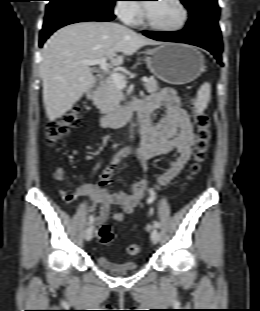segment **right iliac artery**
<instances>
[{"label": "right iliac artery", "mask_w": 260, "mask_h": 311, "mask_svg": "<svg viewBox=\"0 0 260 311\" xmlns=\"http://www.w3.org/2000/svg\"><path fill=\"white\" fill-rule=\"evenodd\" d=\"M93 220H94V219H93V215H91L90 218H89L88 224H92V223H93Z\"/></svg>", "instance_id": "1"}]
</instances>
